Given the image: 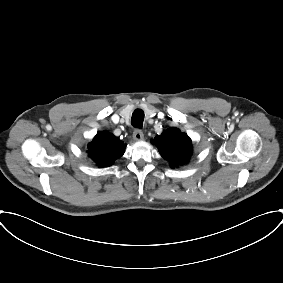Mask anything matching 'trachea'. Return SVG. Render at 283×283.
I'll return each instance as SVG.
<instances>
[{
    "mask_svg": "<svg viewBox=\"0 0 283 283\" xmlns=\"http://www.w3.org/2000/svg\"><path fill=\"white\" fill-rule=\"evenodd\" d=\"M144 120V112L141 109H136L131 118V124L136 128H142Z\"/></svg>",
    "mask_w": 283,
    "mask_h": 283,
    "instance_id": "obj_1",
    "label": "trachea"
}]
</instances>
